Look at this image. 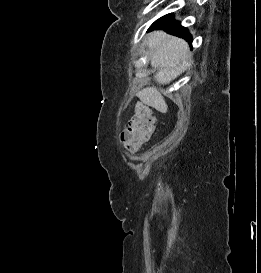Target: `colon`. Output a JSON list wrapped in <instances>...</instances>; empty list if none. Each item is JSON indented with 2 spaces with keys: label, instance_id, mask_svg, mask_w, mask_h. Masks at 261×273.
Returning a JSON list of instances; mask_svg holds the SVG:
<instances>
[{
  "label": "colon",
  "instance_id": "1",
  "mask_svg": "<svg viewBox=\"0 0 261 273\" xmlns=\"http://www.w3.org/2000/svg\"><path fill=\"white\" fill-rule=\"evenodd\" d=\"M156 118L150 108L142 103L135 105V113L121 134V141L131 150H137L152 136Z\"/></svg>",
  "mask_w": 261,
  "mask_h": 273
}]
</instances>
